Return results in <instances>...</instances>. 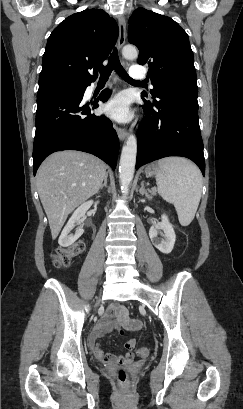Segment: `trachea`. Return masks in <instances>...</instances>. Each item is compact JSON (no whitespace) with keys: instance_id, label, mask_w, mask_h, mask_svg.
<instances>
[{"instance_id":"obj_1","label":"trachea","mask_w":243,"mask_h":409,"mask_svg":"<svg viewBox=\"0 0 243 409\" xmlns=\"http://www.w3.org/2000/svg\"><path fill=\"white\" fill-rule=\"evenodd\" d=\"M113 69L123 80L136 81L132 79L127 74V72L124 70V68L121 66L120 61H119L118 51L116 48L113 50V52L111 53L109 57L108 65L105 68L100 69V80H108Z\"/></svg>"}]
</instances>
